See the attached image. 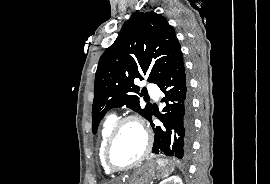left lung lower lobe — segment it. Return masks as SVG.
Instances as JSON below:
<instances>
[{
	"label": "left lung lower lobe",
	"mask_w": 270,
	"mask_h": 184,
	"mask_svg": "<svg viewBox=\"0 0 270 184\" xmlns=\"http://www.w3.org/2000/svg\"><path fill=\"white\" fill-rule=\"evenodd\" d=\"M157 85L165 94L162 102L166 103L163 109L166 113L158 116L164 128L155 127L152 119L149 120L155 133L152 152L186 161L191 155L194 121L181 51Z\"/></svg>",
	"instance_id": "left-lung-lower-lobe-1"
}]
</instances>
